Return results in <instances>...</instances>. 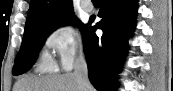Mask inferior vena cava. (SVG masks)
I'll use <instances>...</instances> for the list:
<instances>
[{
	"mask_svg": "<svg viewBox=\"0 0 173 91\" xmlns=\"http://www.w3.org/2000/svg\"><path fill=\"white\" fill-rule=\"evenodd\" d=\"M73 75L77 80L79 91H87L90 83L88 80L87 62L83 54H81L75 62Z\"/></svg>",
	"mask_w": 173,
	"mask_h": 91,
	"instance_id": "obj_1",
	"label": "inferior vena cava"
}]
</instances>
